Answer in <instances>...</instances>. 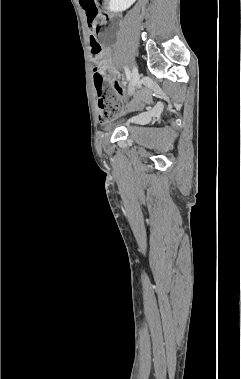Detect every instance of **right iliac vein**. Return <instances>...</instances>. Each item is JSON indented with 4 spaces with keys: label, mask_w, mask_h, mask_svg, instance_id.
<instances>
[{
    "label": "right iliac vein",
    "mask_w": 241,
    "mask_h": 379,
    "mask_svg": "<svg viewBox=\"0 0 241 379\" xmlns=\"http://www.w3.org/2000/svg\"><path fill=\"white\" fill-rule=\"evenodd\" d=\"M138 82H139V73H138L137 68L134 67V69L132 71V75H131V85H130V88H129V93L133 92V90L135 89V87L138 84ZM156 111H157V107L153 109V111L151 112V114H154Z\"/></svg>",
    "instance_id": "obj_1"
}]
</instances>
